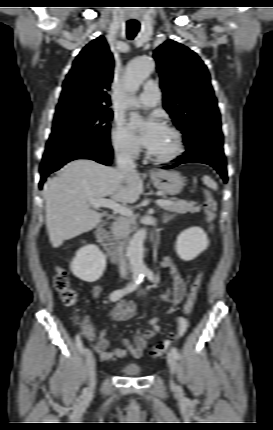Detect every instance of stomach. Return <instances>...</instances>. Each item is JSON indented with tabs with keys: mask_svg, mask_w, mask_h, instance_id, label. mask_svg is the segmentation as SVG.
Instances as JSON below:
<instances>
[{
	"mask_svg": "<svg viewBox=\"0 0 273 430\" xmlns=\"http://www.w3.org/2000/svg\"><path fill=\"white\" fill-rule=\"evenodd\" d=\"M153 185L169 195L181 192L184 186V178L176 171H157L151 174Z\"/></svg>",
	"mask_w": 273,
	"mask_h": 430,
	"instance_id": "0dacf381",
	"label": "stomach"
}]
</instances>
